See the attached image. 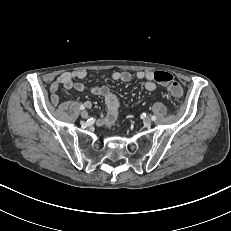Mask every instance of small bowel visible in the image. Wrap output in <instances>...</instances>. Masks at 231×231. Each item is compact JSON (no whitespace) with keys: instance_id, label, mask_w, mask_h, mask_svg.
Instances as JSON below:
<instances>
[{"instance_id":"small-bowel-1","label":"small bowel","mask_w":231,"mask_h":231,"mask_svg":"<svg viewBox=\"0 0 231 231\" xmlns=\"http://www.w3.org/2000/svg\"><path fill=\"white\" fill-rule=\"evenodd\" d=\"M87 76L88 73L85 70L62 73L51 85V100L54 104L59 103L58 90L60 87H63L66 90H75L78 92L88 90L92 94L102 97L106 105V114L98 120V124L111 126L115 122L119 112V100L106 85L87 87L83 83L77 82V80H83ZM136 77L144 81L143 85L147 91L154 92L156 90L157 86L154 82L152 71H139L136 73ZM112 79L127 83L132 80V74L127 71H115L112 73ZM68 105L69 102H64L61 104V108L66 109ZM85 105L88 108L91 107L90 102H86Z\"/></svg>"}]
</instances>
